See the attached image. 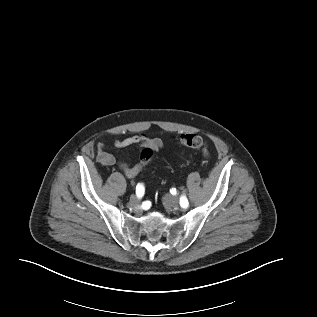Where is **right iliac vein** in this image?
<instances>
[{
    "mask_svg": "<svg viewBox=\"0 0 317 317\" xmlns=\"http://www.w3.org/2000/svg\"><path fill=\"white\" fill-rule=\"evenodd\" d=\"M130 201H131L132 204H136V203H138L140 201V199H139V197L137 195H132L130 197Z\"/></svg>",
    "mask_w": 317,
    "mask_h": 317,
    "instance_id": "obj_1",
    "label": "right iliac vein"
}]
</instances>
